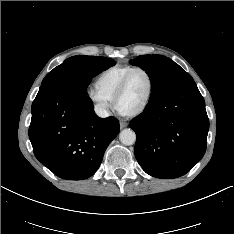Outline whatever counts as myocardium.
Returning a JSON list of instances; mask_svg holds the SVG:
<instances>
[{
    "mask_svg": "<svg viewBox=\"0 0 234 234\" xmlns=\"http://www.w3.org/2000/svg\"><path fill=\"white\" fill-rule=\"evenodd\" d=\"M137 71H142V72L146 73V75L148 76L149 89H148L147 96H146L144 102L137 109H135L133 111H130V112H122V111H120L118 109V100L120 99V97L126 91L131 76ZM154 86H155L154 77H153L152 73L148 69H146L144 67H134L132 70H130L125 75V77L121 81L120 85L118 86L117 90L115 91V94L113 96V103H114L115 109L120 114L125 115V116H129V117H133V116H137V115L141 114L148 107V105H149V103H150V101L152 99L153 92H154Z\"/></svg>",
    "mask_w": 234,
    "mask_h": 234,
    "instance_id": "1",
    "label": "myocardium"
}]
</instances>
